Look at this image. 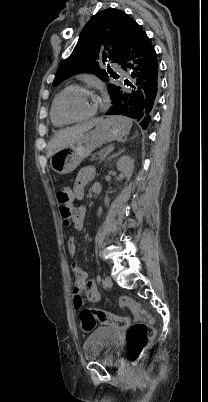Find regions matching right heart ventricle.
Masks as SVG:
<instances>
[{"label": "right heart ventricle", "mask_w": 208, "mask_h": 402, "mask_svg": "<svg viewBox=\"0 0 208 402\" xmlns=\"http://www.w3.org/2000/svg\"><path fill=\"white\" fill-rule=\"evenodd\" d=\"M58 96V95H57ZM57 96L54 98L50 109V120L56 128H64L73 122L65 120L59 113L57 108Z\"/></svg>", "instance_id": "obj_1"}]
</instances>
